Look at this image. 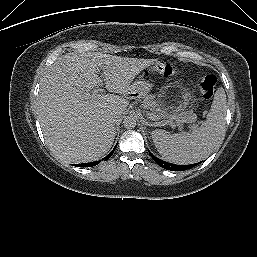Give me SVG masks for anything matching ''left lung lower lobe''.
I'll use <instances>...</instances> for the list:
<instances>
[{"instance_id":"0a47b994","label":"left lung lower lobe","mask_w":257,"mask_h":257,"mask_svg":"<svg viewBox=\"0 0 257 257\" xmlns=\"http://www.w3.org/2000/svg\"><path fill=\"white\" fill-rule=\"evenodd\" d=\"M149 154L151 155V157L153 158V160L162 168L167 169V170H171V171H183V170H187L190 169L198 164H200L201 162L195 163V164H190V165H176V164H172V163H168L165 161L160 160L159 158L155 157L153 154H151V152H149Z\"/></svg>"}]
</instances>
